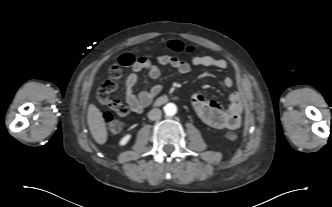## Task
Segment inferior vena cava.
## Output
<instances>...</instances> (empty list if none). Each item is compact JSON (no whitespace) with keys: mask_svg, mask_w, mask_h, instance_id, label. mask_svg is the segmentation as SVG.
Listing matches in <instances>:
<instances>
[{"mask_svg":"<svg viewBox=\"0 0 332 207\" xmlns=\"http://www.w3.org/2000/svg\"><path fill=\"white\" fill-rule=\"evenodd\" d=\"M161 115H162V112L158 108H154V109L150 110L148 113V117L152 121L160 119Z\"/></svg>","mask_w":332,"mask_h":207,"instance_id":"inferior-vena-cava-1","label":"inferior vena cava"}]
</instances>
